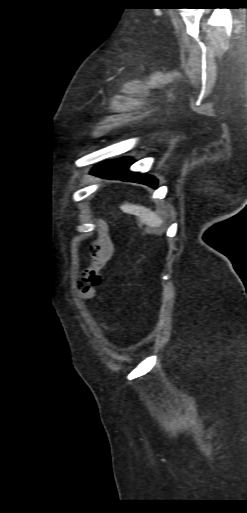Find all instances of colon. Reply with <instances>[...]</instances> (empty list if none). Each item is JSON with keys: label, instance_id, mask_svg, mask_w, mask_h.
Masks as SVG:
<instances>
[{"label": "colon", "instance_id": "5ec220e1", "mask_svg": "<svg viewBox=\"0 0 247 513\" xmlns=\"http://www.w3.org/2000/svg\"><path fill=\"white\" fill-rule=\"evenodd\" d=\"M113 253L112 246L105 236L104 232H100L89 246L90 264L82 271L81 278L78 280L80 290L89 295L94 287L101 282V270L111 258Z\"/></svg>", "mask_w": 247, "mask_h": 513}]
</instances>
